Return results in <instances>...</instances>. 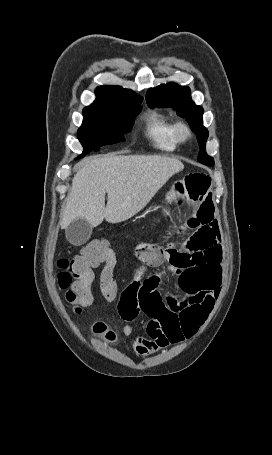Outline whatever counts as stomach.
Segmentation results:
<instances>
[{
    "label": "stomach",
    "mask_w": 272,
    "mask_h": 455,
    "mask_svg": "<svg viewBox=\"0 0 272 455\" xmlns=\"http://www.w3.org/2000/svg\"><path fill=\"white\" fill-rule=\"evenodd\" d=\"M151 209H152V207H150L148 210H146L144 215L147 214Z\"/></svg>",
    "instance_id": "obj_1"
}]
</instances>
